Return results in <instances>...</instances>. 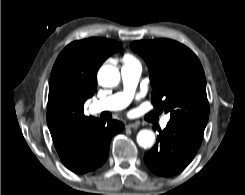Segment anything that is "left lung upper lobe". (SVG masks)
Wrapping results in <instances>:
<instances>
[{
  "label": "left lung upper lobe",
  "instance_id": "left-lung-upper-lobe-1",
  "mask_svg": "<svg viewBox=\"0 0 245 195\" xmlns=\"http://www.w3.org/2000/svg\"><path fill=\"white\" fill-rule=\"evenodd\" d=\"M130 46L149 67L154 107L169 112L172 121L205 128L209 104L198 57L185 45L169 39L134 41Z\"/></svg>",
  "mask_w": 245,
  "mask_h": 195
}]
</instances>
